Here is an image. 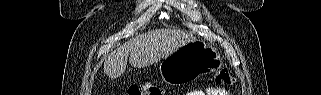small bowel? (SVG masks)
Listing matches in <instances>:
<instances>
[{"label": "small bowel", "instance_id": "obj_1", "mask_svg": "<svg viewBox=\"0 0 321 95\" xmlns=\"http://www.w3.org/2000/svg\"><path fill=\"white\" fill-rule=\"evenodd\" d=\"M188 95H226V92L222 89L210 88L205 92H191Z\"/></svg>", "mask_w": 321, "mask_h": 95}]
</instances>
